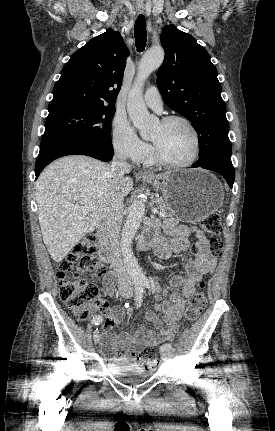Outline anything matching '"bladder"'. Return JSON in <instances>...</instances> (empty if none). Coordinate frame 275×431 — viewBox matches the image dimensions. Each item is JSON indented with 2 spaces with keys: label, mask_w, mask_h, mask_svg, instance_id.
Returning <instances> with one entry per match:
<instances>
[{
  "label": "bladder",
  "mask_w": 275,
  "mask_h": 431,
  "mask_svg": "<svg viewBox=\"0 0 275 431\" xmlns=\"http://www.w3.org/2000/svg\"><path fill=\"white\" fill-rule=\"evenodd\" d=\"M109 373L117 380L128 377L148 378L152 373L143 368L124 362H108Z\"/></svg>",
  "instance_id": "bladder-1"
}]
</instances>
